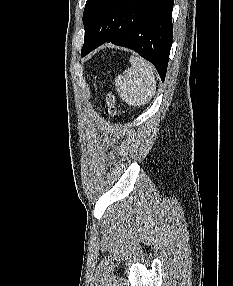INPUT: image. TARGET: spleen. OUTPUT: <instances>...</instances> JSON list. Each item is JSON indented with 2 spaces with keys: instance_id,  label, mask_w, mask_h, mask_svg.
Returning a JSON list of instances; mask_svg holds the SVG:
<instances>
[{
  "instance_id": "1",
  "label": "spleen",
  "mask_w": 233,
  "mask_h": 286,
  "mask_svg": "<svg viewBox=\"0 0 233 286\" xmlns=\"http://www.w3.org/2000/svg\"><path fill=\"white\" fill-rule=\"evenodd\" d=\"M131 67L115 78V88L123 101L130 106H142L155 95L154 67L142 57L132 55Z\"/></svg>"
}]
</instances>
